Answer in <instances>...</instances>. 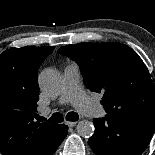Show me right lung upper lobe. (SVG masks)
Segmentation results:
<instances>
[{"mask_svg":"<svg viewBox=\"0 0 155 155\" xmlns=\"http://www.w3.org/2000/svg\"><path fill=\"white\" fill-rule=\"evenodd\" d=\"M54 47L10 48L0 55V152L49 155L60 141V125L35 122L38 69Z\"/></svg>","mask_w":155,"mask_h":155,"instance_id":"right-lung-upper-lobe-1","label":"right lung upper lobe"}]
</instances>
